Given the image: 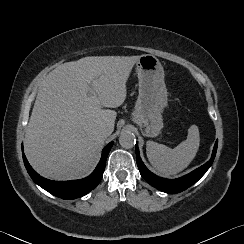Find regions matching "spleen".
I'll list each match as a JSON object with an SVG mask.
<instances>
[{"instance_id":"3e777b00","label":"spleen","mask_w":244,"mask_h":244,"mask_svg":"<svg viewBox=\"0 0 244 244\" xmlns=\"http://www.w3.org/2000/svg\"><path fill=\"white\" fill-rule=\"evenodd\" d=\"M200 136L196 125L188 129L187 139L171 149L154 141H147L146 153L155 170L165 176H173L184 170L195 158Z\"/></svg>"}]
</instances>
